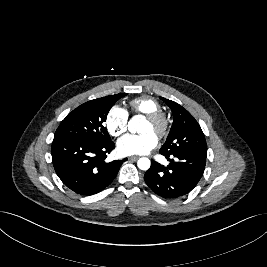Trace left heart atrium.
Listing matches in <instances>:
<instances>
[{
	"mask_svg": "<svg viewBox=\"0 0 267 267\" xmlns=\"http://www.w3.org/2000/svg\"><path fill=\"white\" fill-rule=\"evenodd\" d=\"M157 142V137L153 133L128 134L118 140L117 150L125 156L143 155L154 149Z\"/></svg>",
	"mask_w": 267,
	"mask_h": 267,
	"instance_id": "obj_1",
	"label": "left heart atrium"
}]
</instances>
